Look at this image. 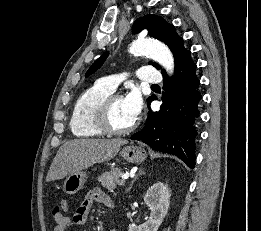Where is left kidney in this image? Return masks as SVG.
<instances>
[{"label":"left kidney","instance_id":"left-kidney-1","mask_svg":"<svg viewBox=\"0 0 261 231\" xmlns=\"http://www.w3.org/2000/svg\"><path fill=\"white\" fill-rule=\"evenodd\" d=\"M144 202L151 210L148 221L139 226L129 225L128 231L158 230L169 209L170 192L168 186L162 182L153 184L145 194Z\"/></svg>","mask_w":261,"mask_h":231}]
</instances>
